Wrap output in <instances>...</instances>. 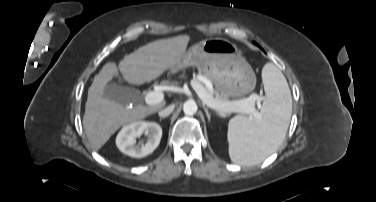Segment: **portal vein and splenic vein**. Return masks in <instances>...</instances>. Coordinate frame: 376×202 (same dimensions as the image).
<instances>
[{
  "label": "portal vein and splenic vein",
  "mask_w": 376,
  "mask_h": 202,
  "mask_svg": "<svg viewBox=\"0 0 376 202\" xmlns=\"http://www.w3.org/2000/svg\"><path fill=\"white\" fill-rule=\"evenodd\" d=\"M208 88H212L210 82H206ZM192 87L197 92L200 99L209 107L222 112H241L245 114L256 115L255 101L258 100V97L251 95L249 98L237 101H219L213 98L203 86L198 82L192 81ZM164 95L159 91H151L145 95V102L149 105L157 104L162 102Z\"/></svg>",
  "instance_id": "obj_1"
}]
</instances>
